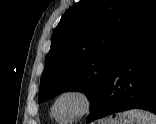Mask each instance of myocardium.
<instances>
[{"instance_id": "obj_1", "label": "myocardium", "mask_w": 156, "mask_h": 124, "mask_svg": "<svg viewBox=\"0 0 156 124\" xmlns=\"http://www.w3.org/2000/svg\"><path fill=\"white\" fill-rule=\"evenodd\" d=\"M67 94H76V95L81 96L82 99L84 100V109L77 116H74L71 118H59L55 114L54 108L58 100ZM95 104H96L95 96L90 90L81 86H72V87L64 88L58 94L55 95V97L52 99L50 103V113L54 117L59 118L63 120L64 122H77L88 117L93 112L95 108Z\"/></svg>"}]
</instances>
